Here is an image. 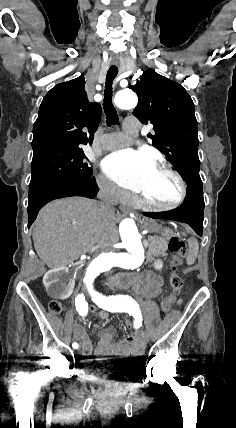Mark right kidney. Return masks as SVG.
I'll use <instances>...</instances> for the list:
<instances>
[{
  "label": "right kidney",
  "mask_w": 236,
  "mask_h": 428,
  "mask_svg": "<svg viewBox=\"0 0 236 428\" xmlns=\"http://www.w3.org/2000/svg\"><path fill=\"white\" fill-rule=\"evenodd\" d=\"M66 272L64 269H46L43 278L44 286H47L50 301H64L72 294L74 284L64 283Z\"/></svg>",
  "instance_id": "ca27d5eb"
}]
</instances>
